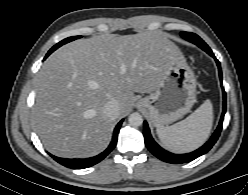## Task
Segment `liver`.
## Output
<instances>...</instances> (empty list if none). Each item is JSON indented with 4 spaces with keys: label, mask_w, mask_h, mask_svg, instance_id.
I'll return each mask as SVG.
<instances>
[{
    "label": "liver",
    "mask_w": 248,
    "mask_h": 195,
    "mask_svg": "<svg viewBox=\"0 0 248 195\" xmlns=\"http://www.w3.org/2000/svg\"><path fill=\"white\" fill-rule=\"evenodd\" d=\"M180 49L159 32L105 34L68 43L43 63L36 79L33 120L50 153L65 158L99 154L109 144L115 119L103 113L110 100L119 117L151 93Z\"/></svg>",
    "instance_id": "1"
}]
</instances>
